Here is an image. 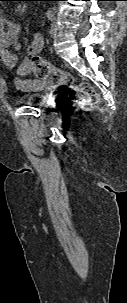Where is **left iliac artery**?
<instances>
[{"instance_id": "obj_1", "label": "left iliac artery", "mask_w": 127, "mask_h": 303, "mask_svg": "<svg viewBox=\"0 0 127 303\" xmlns=\"http://www.w3.org/2000/svg\"><path fill=\"white\" fill-rule=\"evenodd\" d=\"M46 16L50 21H53L55 19V13L52 10H48Z\"/></svg>"}]
</instances>
